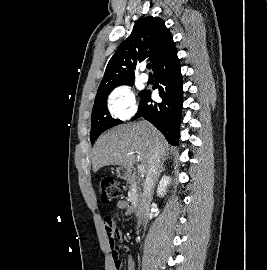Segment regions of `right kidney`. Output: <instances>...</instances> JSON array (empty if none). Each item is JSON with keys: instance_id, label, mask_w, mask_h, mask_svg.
I'll use <instances>...</instances> for the list:
<instances>
[{"instance_id": "right-kidney-1", "label": "right kidney", "mask_w": 267, "mask_h": 270, "mask_svg": "<svg viewBox=\"0 0 267 270\" xmlns=\"http://www.w3.org/2000/svg\"><path fill=\"white\" fill-rule=\"evenodd\" d=\"M171 182L170 177L168 176H163L162 179L159 182L158 189H157V194L160 197H163L166 194V188Z\"/></svg>"}]
</instances>
